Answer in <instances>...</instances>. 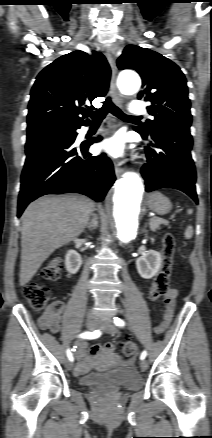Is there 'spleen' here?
Wrapping results in <instances>:
<instances>
[{"mask_svg":"<svg viewBox=\"0 0 212 438\" xmlns=\"http://www.w3.org/2000/svg\"><path fill=\"white\" fill-rule=\"evenodd\" d=\"M184 236H185L186 239H191L192 238V236H193V228H192V226H187V228L185 230V233H184Z\"/></svg>","mask_w":212,"mask_h":438,"instance_id":"3e777b00","label":"spleen"}]
</instances>
